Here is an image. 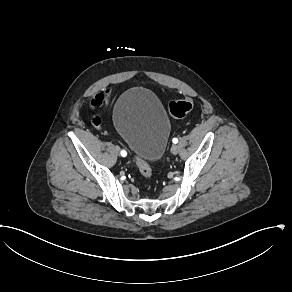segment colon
<instances>
[{
	"mask_svg": "<svg viewBox=\"0 0 292 292\" xmlns=\"http://www.w3.org/2000/svg\"><path fill=\"white\" fill-rule=\"evenodd\" d=\"M105 96L102 93L94 95L93 101L89 103L91 110H96L98 105H101L104 101ZM193 108V102L189 98L171 100L168 102V114L173 118H182L189 113ZM92 125L99 129L101 126V120L99 116H93L91 118ZM134 163L137 166L140 175L150 180L152 178V170L149 163L144 159L142 155H136L134 157Z\"/></svg>",
	"mask_w": 292,
	"mask_h": 292,
	"instance_id": "5ec220e1",
	"label": "colon"
}]
</instances>
